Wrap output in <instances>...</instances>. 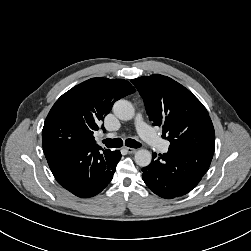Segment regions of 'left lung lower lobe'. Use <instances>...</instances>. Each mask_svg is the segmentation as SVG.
Here are the masks:
<instances>
[{"instance_id":"obj_1","label":"left lung lower lobe","mask_w":251,"mask_h":251,"mask_svg":"<svg viewBox=\"0 0 251 251\" xmlns=\"http://www.w3.org/2000/svg\"><path fill=\"white\" fill-rule=\"evenodd\" d=\"M213 153L178 151L155 153L150 165L142 168L145 184L162 198H175L190 192L207 172Z\"/></svg>"}]
</instances>
